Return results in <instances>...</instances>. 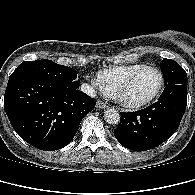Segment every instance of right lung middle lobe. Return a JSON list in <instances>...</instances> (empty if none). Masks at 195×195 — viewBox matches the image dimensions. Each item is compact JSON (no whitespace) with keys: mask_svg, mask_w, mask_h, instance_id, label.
Instances as JSON below:
<instances>
[{"mask_svg":"<svg viewBox=\"0 0 195 195\" xmlns=\"http://www.w3.org/2000/svg\"><path fill=\"white\" fill-rule=\"evenodd\" d=\"M17 73L47 78L52 82L59 83L64 89L72 88V82L78 81L76 70L51 60L24 61L11 75Z\"/></svg>","mask_w":195,"mask_h":195,"instance_id":"dd1d6c3e","label":"right lung middle lobe"}]
</instances>
